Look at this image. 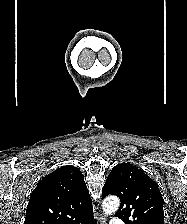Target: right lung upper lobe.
<instances>
[{
  "instance_id": "cb5924a9",
  "label": "right lung upper lobe",
  "mask_w": 187,
  "mask_h": 224,
  "mask_svg": "<svg viewBox=\"0 0 187 224\" xmlns=\"http://www.w3.org/2000/svg\"><path fill=\"white\" fill-rule=\"evenodd\" d=\"M91 203L81 171L63 166L33 190L24 224H89L95 220Z\"/></svg>"
}]
</instances>
